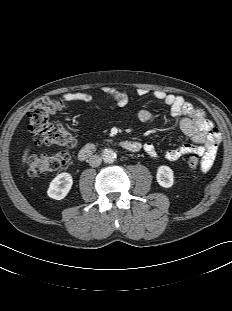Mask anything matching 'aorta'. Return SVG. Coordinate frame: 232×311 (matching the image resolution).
<instances>
[{"label": "aorta", "mask_w": 232, "mask_h": 311, "mask_svg": "<svg viewBox=\"0 0 232 311\" xmlns=\"http://www.w3.org/2000/svg\"><path fill=\"white\" fill-rule=\"evenodd\" d=\"M117 158L116 152L111 148H106L102 151V159L105 163H113Z\"/></svg>", "instance_id": "1"}]
</instances>
